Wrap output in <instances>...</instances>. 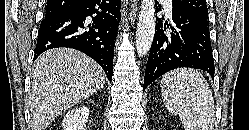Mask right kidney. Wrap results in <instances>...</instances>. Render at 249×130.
I'll list each match as a JSON object with an SVG mask.
<instances>
[{
	"instance_id": "ca27d5eb",
	"label": "right kidney",
	"mask_w": 249,
	"mask_h": 130,
	"mask_svg": "<svg viewBox=\"0 0 249 130\" xmlns=\"http://www.w3.org/2000/svg\"><path fill=\"white\" fill-rule=\"evenodd\" d=\"M88 116L89 108L86 106L68 111L62 121L63 130H85Z\"/></svg>"
}]
</instances>
